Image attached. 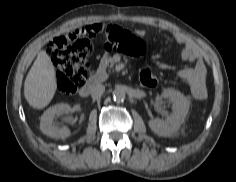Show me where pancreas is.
I'll use <instances>...</instances> for the list:
<instances>
[{"label":"pancreas","mask_w":236,"mask_h":182,"mask_svg":"<svg viewBox=\"0 0 236 182\" xmlns=\"http://www.w3.org/2000/svg\"><path fill=\"white\" fill-rule=\"evenodd\" d=\"M104 65H105V66L109 65V66L112 67V66L114 65V62H113L112 59H109V58H108V59H106V62L104 63Z\"/></svg>","instance_id":"pancreas-1"}]
</instances>
